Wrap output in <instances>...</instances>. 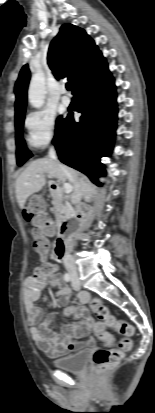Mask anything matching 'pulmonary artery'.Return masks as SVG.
<instances>
[{"mask_svg": "<svg viewBox=\"0 0 155 413\" xmlns=\"http://www.w3.org/2000/svg\"><path fill=\"white\" fill-rule=\"evenodd\" d=\"M61 101L65 106H69L71 104V99L66 93V88L64 86L61 87Z\"/></svg>", "mask_w": 155, "mask_h": 413, "instance_id": "1", "label": "pulmonary artery"}]
</instances>
